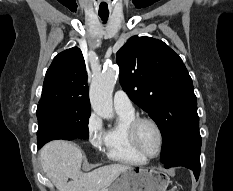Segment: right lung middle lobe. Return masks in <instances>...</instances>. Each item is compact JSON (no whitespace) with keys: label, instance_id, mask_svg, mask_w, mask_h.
<instances>
[{"label":"right lung middle lobe","instance_id":"right-lung-middle-lobe-1","mask_svg":"<svg viewBox=\"0 0 233 191\" xmlns=\"http://www.w3.org/2000/svg\"><path fill=\"white\" fill-rule=\"evenodd\" d=\"M89 117L90 109L58 103H39L37 107L38 144L44 145L53 139H87Z\"/></svg>","mask_w":233,"mask_h":191}]
</instances>
